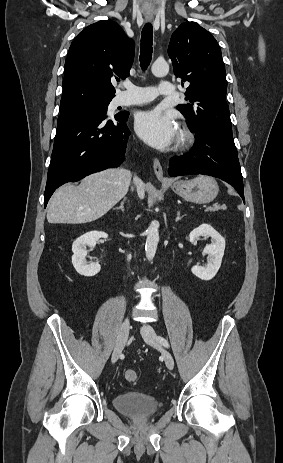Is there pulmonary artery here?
I'll list each match as a JSON object with an SVG mask.
<instances>
[{"mask_svg": "<svg viewBox=\"0 0 283 463\" xmlns=\"http://www.w3.org/2000/svg\"><path fill=\"white\" fill-rule=\"evenodd\" d=\"M125 91L118 93L114 100L116 106L143 104L154 100L158 96H171L175 86L169 81H161L158 86L140 87L132 83H124Z\"/></svg>", "mask_w": 283, "mask_h": 463, "instance_id": "1", "label": "pulmonary artery"}]
</instances>
